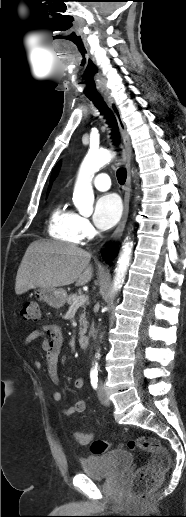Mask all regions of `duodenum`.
Here are the masks:
<instances>
[{"instance_id":"duodenum-1","label":"duodenum","mask_w":186,"mask_h":517,"mask_svg":"<svg viewBox=\"0 0 186 517\" xmlns=\"http://www.w3.org/2000/svg\"><path fill=\"white\" fill-rule=\"evenodd\" d=\"M78 344H79L80 348L87 349L89 347V344H90L89 337L87 335H85V334H80L78 336Z\"/></svg>"}]
</instances>
